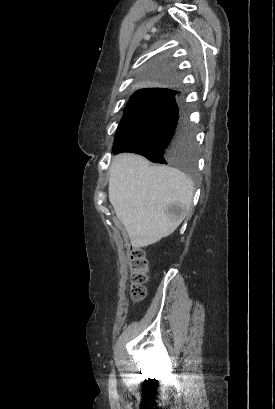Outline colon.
<instances>
[{
	"label": "colon",
	"mask_w": 275,
	"mask_h": 409,
	"mask_svg": "<svg viewBox=\"0 0 275 409\" xmlns=\"http://www.w3.org/2000/svg\"><path fill=\"white\" fill-rule=\"evenodd\" d=\"M129 252L132 259L131 296L134 301H140L145 298L147 293V290L144 287V283L147 281L148 278L147 273L148 262L144 258L143 250L131 246Z\"/></svg>",
	"instance_id": "5ec220e1"
}]
</instances>
